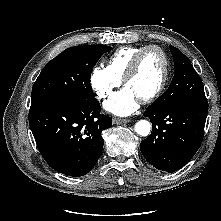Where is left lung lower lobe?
Segmentation results:
<instances>
[{
  "mask_svg": "<svg viewBox=\"0 0 221 221\" xmlns=\"http://www.w3.org/2000/svg\"><path fill=\"white\" fill-rule=\"evenodd\" d=\"M207 110V102L147 107L143 115L150 119L152 133L140 143L144 158L169 173L182 168L202 143Z\"/></svg>",
  "mask_w": 221,
  "mask_h": 221,
  "instance_id": "1",
  "label": "left lung lower lobe"
}]
</instances>
